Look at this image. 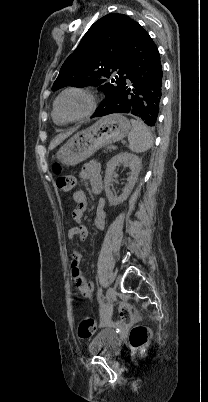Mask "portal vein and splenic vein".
Listing matches in <instances>:
<instances>
[{
	"instance_id": "obj_1",
	"label": "portal vein and splenic vein",
	"mask_w": 208,
	"mask_h": 402,
	"mask_svg": "<svg viewBox=\"0 0 208 402\" xmlns=\"http://www.w3.org/2000/svg\"><path fill=\"white\" fill-rule=\"evenodd\" d=\"M118 148V145L117 144H114L113 145V150H116Z\"/></svg>"
}]
</instances>
